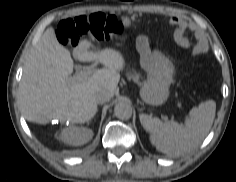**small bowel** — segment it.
Segmentation results:
<instances>
[{
	"label": "small bowel",
	"mask_w": 236,
	"mask_h": 182,
	"mask_svg": "<svg viewBox=\"0 0 236 182\" xmlns=\"http://www.w3.org/2000/svg\"><path fill=\"white\" fill-rule=\"evenodd\" d=\"M170 22L176 26V32H175V38L179 45H185L187 43V40L184 37V31L186 29V23L179 19L178 17H172ZM142 40H145L144 37H142ZM203 51V44H198L194 51L193 55H198Z\"/></svg>",
	"instance_id": "small-bowel-1"
}]
</instances>
